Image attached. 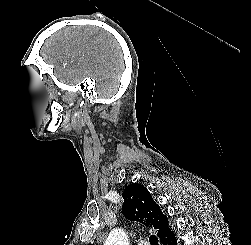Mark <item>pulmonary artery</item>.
<instances>
[{
    "label": "pulmonary artery",
    "mask_w": 251,
    "mask_h": 245,
    "mask_svg": "<svg viewBox=\"0 0 251 245\" xmlns=\"http://www.w3.org/2000/svg\"><path fill=\"white\" fill-rule=\"evenodd\" d=\"M139 245H146V243L145 242H141Z\"/></svg>",
    "instance_id": "obj_1"
}]
</instances>
